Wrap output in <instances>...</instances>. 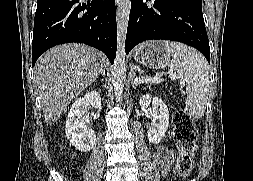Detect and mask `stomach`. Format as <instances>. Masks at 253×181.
Segmentation results:
<instances>
[{"label": "stomach", "mask_w": 253, "mask_h": 181, "mask_svg": "<svg viewBox=\"0 0 253 181\" xmlns=\"http://www.w3.org/2000/svg\"><path fill=\"white\" fill-rule=\"evenodd\" d=\"M134 59L139 64L154 69L167 66L171 53L166 50L165 41H148L135 49Z\"/></svg>", "instance_id": "0dacf381"}]
</instances>
